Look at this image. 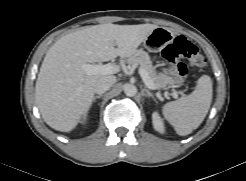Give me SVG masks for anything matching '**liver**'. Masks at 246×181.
I'll return each instance as SVG.
<instances>
[{"mask_svg": "<svg viewBox=\"0 0 246 181\" xmlns=\"http://www.w3.org/2000/svg\"><path fill=\"white\" fill-rule=\"evenodd\" d=\"M158 26L154 24H100L69 33L47 51L35 86V100L51 128L69 132L89 111L97 81L82 64L132 56ZM117 46V48H115ZM117 72L119 66L115 65Z\"/></svg>", "mask_w": 246, "mask_h": 181, "instance_id": "1", "label": "liver"}]
</instances>
